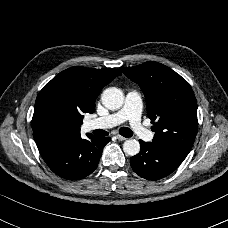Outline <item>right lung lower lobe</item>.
<instances>
[{"label":"right lung lower lobe","instance_id":"right-lung-lower-lobe-1","mask_svg":"<svg viewBox=\"0 0 228 228\" xmlns=\"http://www.w3.org/2000/svg\"><path fill=\"white\" fill-rule=\"evenodd\" d=\"M88 138L82 139L79 134L38 148L55 174L67 180H79L97 168L103 147L111 140L110 137L99 138L91 134Z\"/></svg>","mask_w":228,"mask_h":228}]
</instances>
